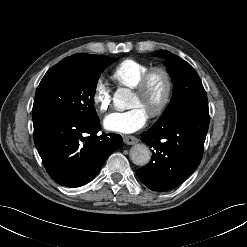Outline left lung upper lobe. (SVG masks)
<instances>
[{"instance_id":"1","label":"left lung upper lobe","mask_w":247,"mask_h":247,"mask_svg":"<svg viewBox=\"0 0 247 247\" xmlns=\"http://www.w3.org/2000/svg\"><path fill=\"white\" fill-rule=\"evenodd\" d=\"M157 55L167 58L165 64L174 83L172 99L162 117L173 116L193 103L207 102L201 80L189 63L165 50H160Z\"/></svg>"}]
</instances>
